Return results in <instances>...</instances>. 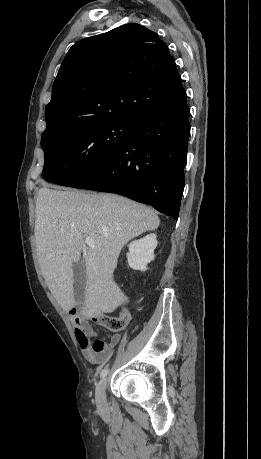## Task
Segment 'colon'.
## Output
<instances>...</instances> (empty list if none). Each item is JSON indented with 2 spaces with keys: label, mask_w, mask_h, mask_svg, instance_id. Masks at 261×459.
Returning <instances> with one entry per match:
<instances>
[{
  "label": "colon",
  "mask_w": 261,
  "mask_h": 459,
  "mask_svg": "<svg viewBox=\"0 0 261 459\" xmlns=\"http://www.w3.org/2000/svg\"><path fill=\"white\" fill-rule=\"evenodd\" d=\"M100 321L103 326L111 332H118L126 325V318L124 315H102Z\"/></svg>",
  "instance_id": "1"
}]
</instances>
